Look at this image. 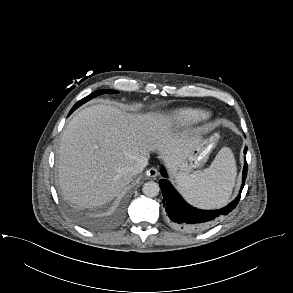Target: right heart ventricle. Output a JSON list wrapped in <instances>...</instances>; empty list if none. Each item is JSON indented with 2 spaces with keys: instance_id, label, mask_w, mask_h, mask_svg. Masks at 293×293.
Instances as JSON below:
<instances>
[{
  "instance_id": "obj_1",
  "label": "right heart ventricle",
  "mask_w": 293,
  "mask_h": 293,
  "mask_svg": "<svg viewBox=\"0 0 293 293\" xmlns=\"http://www.w3.org/2000/svg\"><path fill=\"white\" fill-rule=\"evenodd\" d=\"M208 117L209 113L203 109L186 107L171 111L165 121L169 126L183 127L200 123Z\"/></svg>"
}]
</instances>
